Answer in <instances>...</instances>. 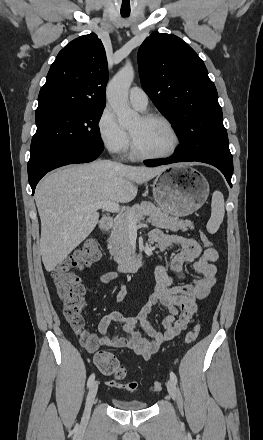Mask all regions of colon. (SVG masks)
<instances>
[{
    "label": "colon",
    "instance_id": "colon-1",
    "mask_svg": "<svg viewBox=\"0 0 263 440\" xmlns=\"http://www.w3.org/2000/svg\"><path fill=\"white\" fill-rule=\"evenodd\" d=\"M200 240L206 248L212 247V242L204 234H200ZM100 257L98 242L87 239L78 250L68 256L63 262L59 263L52 272V277L62 305L63 313L73 331L79 334L86 346L92 341V335L83 333L85 324L84 295L85 287L80 278L76 275L79 271L94 262ZM199 334V326H194L186 336L187 343H193ZM96 366L105 375L112 376L120 381L126 376V368L111 353L98 352L95 357ZM119 387L127 391H135L138 387L137 382L128 381L119 383ZM162 389L161 382H154L152 390L158 392Z\"/></svg>",
    "mask_w": 263,
    "mask_h": 440
}]
</instances>
